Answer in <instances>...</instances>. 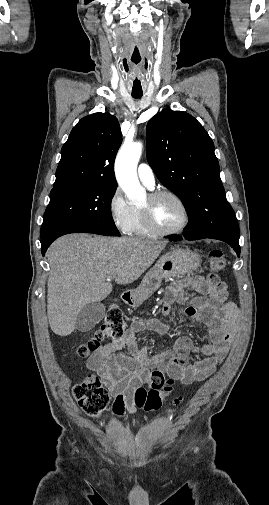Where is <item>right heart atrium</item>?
<instances>
[{
    "instance_id": "d8ad5b80",
    "label": "right heart atrium",
    "mask_w": 269,
    "mask_h": 505,
    "mask_svg": "<svg viewBox=\"0 0 269 505\" xmlns=\"http://www.w3.org/2000/svg\"><path fill=\"white\" fill-rule=\"evenodd\" d=\"M108 213L116 229L122 233L129 232L133 210L119 187L113 190L108 199Z\"/></svg>"
}]
</instances>
